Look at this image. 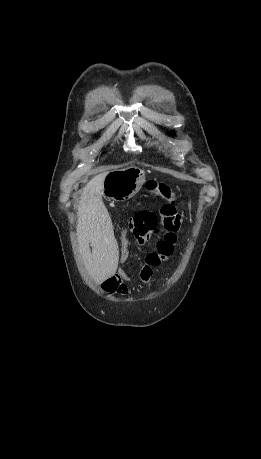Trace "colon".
Listing matches in <instances>:
<instances>
[{"mask_svg":"<svg viewBox=\"0 0 261 459\" xmlns=\"http://www.w3.org/2000/svg\"><path fill=\"white\" fill-rule=\"evenodd\" d=\"M146 191L149 195L164 201L160 209L161 222L158 223V217L155 212L147 210L138 212L130 219L129 228L123 227L121 229L122 236L118 238L120 245L117 251L125 261H129L132 258L128 247L130 229L136 234H145L155 230L160 234H166L167 238H176L178 234L181 216L176 211V195L170 186L162 182L149 181L146 184Z\"/></svg>","mask_w":261,"mask_h":459,"instance_id":"1","label":"colon"}]
</instances>
